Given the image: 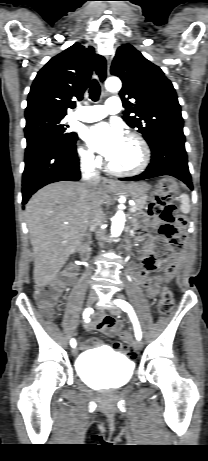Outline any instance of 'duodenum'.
I'll use <instances>...</instances> for the list:
<instances>
[{
	"label": "duodenum",
	"instance_id": "duodenum-1",
	"mask_svg": "<svg viewBox=\"0 0 208 461\" xmlns=\"http://www.w3.org/2000/svg\"><path fill=\"white\" fill-rule=\"evenodd\" d=\"M80 248H81V251H82V253H83V256H84V257L87 256L88 250H89V246H88L87 241H83V242L81 243Z\"/></svg>",
	"mask_w": 208,
	"mask_h": 461
}]
</instances>
